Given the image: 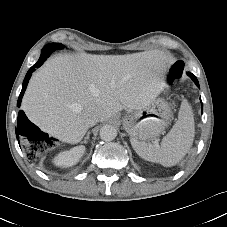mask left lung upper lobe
Returning a JSON list of instances; mask_svg holds the SVG:
<instances>
[{
	"label": "left lung upper lobe",
	"mask_w": 227,
	"mask_h": 227,
	"mask_svg": "<svg viewBox=\"0 0 227 227\" xmlns=\"http://www.w3.org/2000/svg\"><path fill=\"white\" fill-rule=\"evenodd\" d=\"M187 75L189 76V77H191V79L195 82V81H197V78L195 77V75L194 76H192L193 74L192 73H187Z\"/></svg>",
	"instance_id": "left-lung-upper-lobe-1"
}]
</instances>
